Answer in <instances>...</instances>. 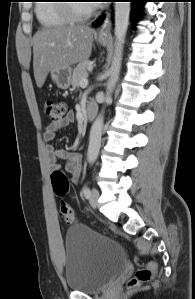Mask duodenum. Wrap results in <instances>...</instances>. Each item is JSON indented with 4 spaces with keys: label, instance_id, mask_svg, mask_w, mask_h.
I'll list each match as a JSON object with an SVG mask.
<instances>
[{
    "label": "duodenum",
    "instance_id": "duodenum-1",
    "mask_svg": "<svg viewBox=\"0 0 195 299\" xmlns=\"http://www.w3.org/2000/svg\"><path fill=\"white\" fill-rule=\"evenodd\" d=\"M97 114V105L94 102H90L85 107V118L87 121H92Z\"/></svg>",
    "mask_w": 195,
    "mask_h": 299
}]
</instances>
